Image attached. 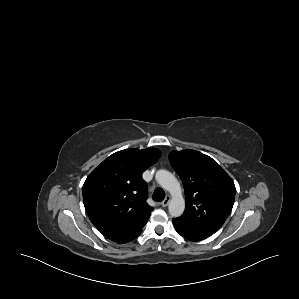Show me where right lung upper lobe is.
<instances>
[{"label":"right lung upper lobe","instance_id":"obj_1","mask_svg":"<svg viewBox=\"0 0 299 299\" xmlns=\"http://www.w3.org/2000/svg\"><path fill=\"white\" fill-rule=\"evenodd\" d=\"M160 156L155 148L122 150L106 158L85 180L86 212L106 238L135 234L147 223L153 208L146 203L142 173Z\"/></svg>","mask_w":299,"mask_h":299}]
</instances>
